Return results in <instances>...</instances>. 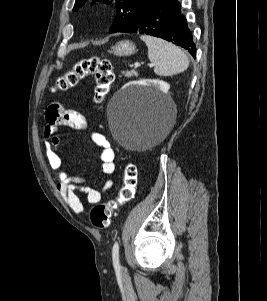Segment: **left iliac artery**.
Instances as JSON below:
<instances>
[{
  "label": "left iliac artery",
  "mask_w": 267,
  "mask_h": 301,
  "mask_svg": "<svg viewBox=\"0 0 267 301\" xmlns=\"http://www.w3.org/2000/svg\"><path fill=\"white\" fill-rule=\"evenodd\" d=\"M112 258H113L114 267L120 268V263H119V244H118V242H115L114 245H113Z\"/></svg>",
  "instance_id": "1"
}]
</instances>
